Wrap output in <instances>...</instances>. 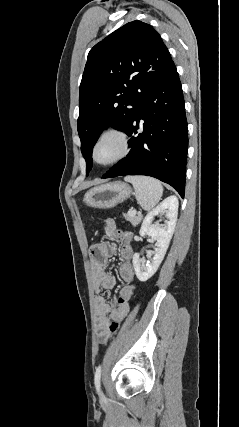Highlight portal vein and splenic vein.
<instances>
[{"label": "portal vein and splenic vein", "mask_w": 239, "mask_h": 427, "mask_svg": "<svg viewBox=\"0 0 239 427\" xmlns=\"http://www.w3.org/2000/svg\"><path fill=\"white\" fill-rule=\"evenodd\" d=\"M128 215L129 216H134V215H136V211L135 210H130L129 212H128Z\"/></svg>", "instance_id": "portal-vein-and-splenic-vein-1"}]
</instances>
